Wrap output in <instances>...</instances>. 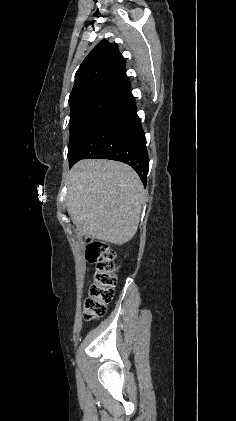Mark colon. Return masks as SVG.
<instances>
[{
    "label": "colon",
    "instance_id": "1",
    "mask_svg": "<svg viewBox=\"0 0 236 421\" xmlns=\"http://www.w3.org/2000/svg\"><path fill=\"white\" fill-rule=\"evenodd\" d=\"M86 258L94 264V269L84 301L83 315L86 320H94L105 314L113 298L118 266L114 250L103 241L90 242L86 248Z\"/></svg>",
    "mask_w": 236,
    "mask_h": 421
}]
</instances>
